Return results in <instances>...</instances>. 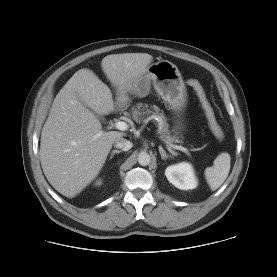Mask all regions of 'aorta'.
I'll return each instance as SVG.
<instances>
[{
    "mask_svg": "<svg viewBox=\"0 0 277 277\" xmlns=\"http://www.w3.org/2000/svg\"><path fill=\"white\" fill-rule=\"evenodd\" d=\"M150 155L146 152H141L139 155H138V163L141 165V166H147L149 165L150 163Z\"/></svg>",
    "mask_w": 277,
    "mask_h": 277,
    "instance_id": "aorta-1",
    "label": "aorta"
}]
</instances>
